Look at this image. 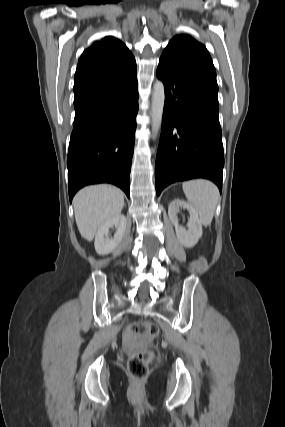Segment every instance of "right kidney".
<instances>
[{
    "label": "right kidney",
    "mask_w": 285,
    "mask_h": 427,
    "mask_svg": "<svg viewBox=\"0 0 285 427\" xmlns=\"http://www.w3.org/2000/svg\"><path fill=\"white\" fill-rule=\"evenodd\" d=\"M126 224V217L123 214H119L98 229L94 246L99 255L109 254L120 245L126 231ZM111 227L116 228V233L110 239L108 238V232Z\"/></svg>",
    "instance_id": "ca27d5eb"
}]
</instances>
